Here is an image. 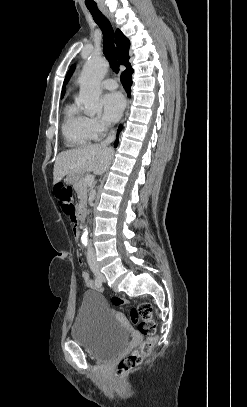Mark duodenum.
<instances>
[{
	"instance_id": "duodenum-1",
	"label": "duodenum",
	"mask_w": 247,
	"mask_h": 407,
	"mask_svg": "<svg viewBox=\"0 0 247 407\" xmlns=\"http://www.w3.org/2000/svg\"><path fill=\"white\" fill-rule=\"evenodd\" d=\"M85 215H86V210L84 207H80L78 212H77V222L82 223L85 219Z\"/></svg>"
}]
</instances>
